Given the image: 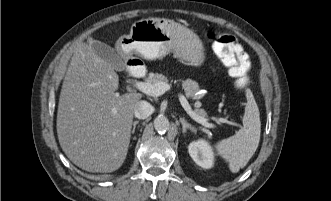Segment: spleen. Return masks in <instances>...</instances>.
Segmentation results:
<instances>
[{"mask_svg": "<svg viewBox=\"0 0 331 201\" xmlns=\"http://www.w3.org/2000/svg\"><path fill=\"white\" fill-rule=\"evenodd\" d=\"M243 127L234 136L215 145L217 153L228 163L231 172L237 173L247 165L258 148L261 134L259 109L252 95L248 96Z\"/></svg>", "mask_w": 331, "mask_h": 201, "instance_id": "1", "label": "spleen"}]
</instances>
